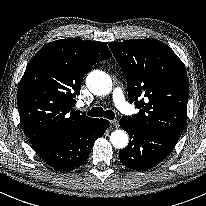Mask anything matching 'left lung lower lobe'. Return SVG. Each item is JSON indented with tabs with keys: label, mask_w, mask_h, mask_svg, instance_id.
I'll return each mask as SVG.
<instances>
[{
	"label": "left lung lower lobe",
	"mask_w": 206,
	"mask_h": 206,
	"mask_svg": "<svg viewBox=\"0 0 206 206\" xmlns=\"http://www.w3.org/2000/svg\"><path fill=\"white\" fill-rule=\"evenodd\" d=\"M130 137L128 146L119 151L121 162L137 171L150 169L163 161L179 138L141 128L125 117L119 122Z\"/></svg>",
	"instance_id": "left-lung-lower-lobe-1"
}]
</instances>
